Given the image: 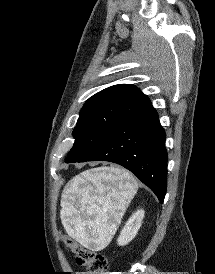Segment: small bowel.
Masks as SVG:
<instances>
[{
	"label": "small bowel",
	"mask_w": 215,
	"mask_h": 274,
	"mask_svg": "<svg viewBox=\"0 0 215 274\" xmlns=\"http://www.w3.org/2000/svg\"><path fill=\"white\" fill-rule=\"evenodd\" d=\"M77 274H87V272H79V273H77Z\"/></svg>",
	"instance_id": "obj_1"
}]
</instances>
